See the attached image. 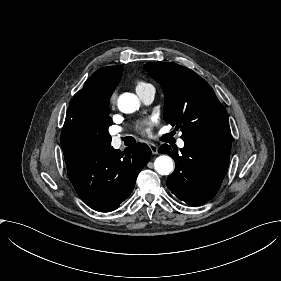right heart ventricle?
<instances>
[{
    "label": "right heart ventricle",
    "instance_id": "1",
    "mask_svg": "<svg viewBox=\"0 0 281 281\" xmlns=\"http://www.w3.org/2000/svg\"><path fill=\"white\" fill-rule=\"evenodd\" d=\"M151 87L143 82L137 81L135 82V89L137 92V95L139 96L140 92H145L147 89H150ZM140 98V97H139Z\"/></svg>",
    "mask_w": 281,
    "mask_h": 281
}]
</instances>
